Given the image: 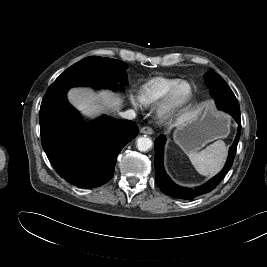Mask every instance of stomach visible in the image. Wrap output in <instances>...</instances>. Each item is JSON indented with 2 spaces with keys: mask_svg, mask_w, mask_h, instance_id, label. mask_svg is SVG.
<instances>
[{
  "mask_svg": "<svg viewBox=\"0 0 267 267\" xmlns=\"http://www.w3.org/2000/svg\"><path fill=\"white\" fill-rule=\"evenodd\" d=\"M230 124L228 114L205 103L187 120L177 125L174 141L185 153L198 151L216 139L226 138L230 132Z\"/></svg>",
  "mask_w": 267,
  "mask_h": 267,
  "instance_id": "0dacf381",
  "label": "stomach"
}]
</instances>
